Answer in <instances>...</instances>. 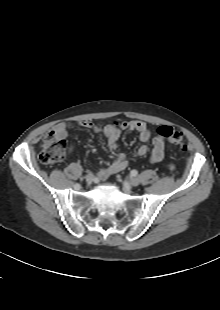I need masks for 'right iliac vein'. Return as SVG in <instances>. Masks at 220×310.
I'll use <instances>...</instances> for the list:
<instances>
[{
    "label": "right iliac vein",
    "mask_w": 220,
    "mask_h": 310,
    "mask_svg": "<svg viewBox=\"0 0 220 310\" xmlns=\"http://www.w3.org/2000/svg\"><path fill=\"white\" fill-rule=\"evenodd\" d=\"M85 179H86V183H87L88 185H90V184H92V182L94 181V175H93V174H88V175L85 177Z\"/></svg>",
    "instance_id": "right-iliac-vein-1"
}]
</instances>
